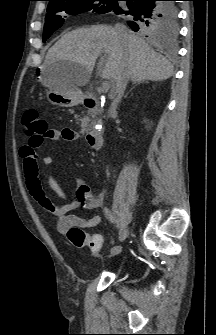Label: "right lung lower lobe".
<instances>
[{"label": "right lung lower lobe", "mask_w": 216, "mask_h": 335, "mask_svg": "<svg viewBox=\"0 0 216 335\" xmlns=\"http://www.w3.org/2000/svg\"><path fill=\"white\" fill-rule=\"evenodd\" d=\"M111 12L127 16L128 25L134 30L157 27V33L178 26L177 8L167 6L170 0H120Z\"/></svg>", "instance_id": "obj_1"}]
</instances>
